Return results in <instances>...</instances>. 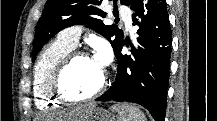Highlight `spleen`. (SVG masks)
<instances>
[{"instance_id": "3e777b00", "label": "spleen", "mask_w": 217, "mask_h": 121, "mask_svg": "<svg viewBox=\"0 0 217 121\" xmlns=\"http://www.w3.org/2000/svg\"><path fill=\"white\" fill-rule=\"evenodd\" d=\"M111 109L118 113V121H146L144 113L134 105L115 104Z\"/></svg>"}]
</instances>
